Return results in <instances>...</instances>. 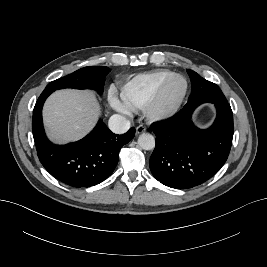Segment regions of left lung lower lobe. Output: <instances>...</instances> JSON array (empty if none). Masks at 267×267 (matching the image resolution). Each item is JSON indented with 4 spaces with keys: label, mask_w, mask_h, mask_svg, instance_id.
<instances>
[{
    "label": "left lung lower lobe",
    "mask_w": 267,
    "mask_h": 267,
    "mask_svg": "<svg viewBox=\"0 0 267 267\" xmlns=\"http://www.w3.org/2000/svg\"><path fill=\"white\" fill-rule=\"evenodd\" d=\"M214 90L196 94L174 116L151 125L156 146L149 166L162 184L175 189L200 185L216 174L226 162L232 144L233 114L226 98H218ZM215 104L217 116L213 125L198 129L192 113L200 104Z\"/></svg>",
    "instance_id": "0a47b994"
}]
</instances>
